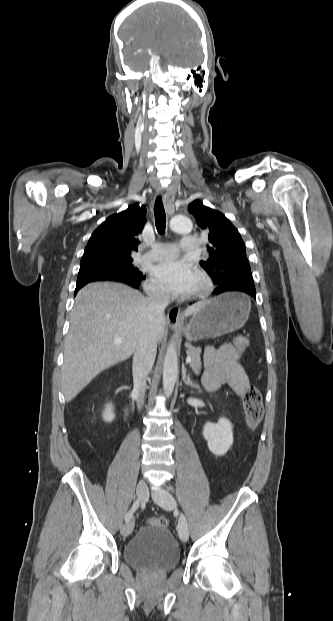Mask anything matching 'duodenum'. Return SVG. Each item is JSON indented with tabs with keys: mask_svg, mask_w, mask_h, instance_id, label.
<instances>
[{
	"mask_svg": "<svg viewBox=\"0 0 333 621\" xmlns=\"http://www.w3.org/2000/svg\"><path fill=\"white\" fill-rule=\"evenodd\" d=\"M124 413H125V418L127 419L128 416H129V407L128 406H125Z\"/></svg>",
	"mask_w": 333,
	"mask_h": 621,
	"instance_id": "1",
	"label": "duodenum"
}]
</instances>
